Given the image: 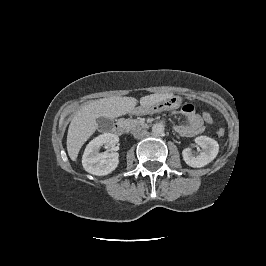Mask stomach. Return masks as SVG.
<instances>
[{
    "label": "stomach",
    "mask_w": 266,
    "mask_h": 266,
    "mask_svg": "<svg viewBox=\"0 0 266 266\" xmlns=\"http://www.w3.org/2000/svg\"><path fill=\"white\" fill-rule=\"evenodd\" d=\"M173 98H175V97H170V98H168V99H166V100H164L162 102L155 103V104H152V105L142 106V111L144 113H157V112H161L163 110H166L169 107L167 105H165V103H170L171 105H173V103L171 102Z\"/></svg>",
    "instance_id": "1"
}]
</instances>
